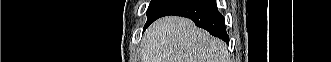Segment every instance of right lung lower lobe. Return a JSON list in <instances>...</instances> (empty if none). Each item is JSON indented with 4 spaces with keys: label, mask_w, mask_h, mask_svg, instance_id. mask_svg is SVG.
<instances>
[{
    "label": "right lung lower lobe",
    "mask_w": 331,
    "mask_h": 62,
    "mask_svg": "<svg viewBox=\"0 0 331 62\" xmlns=\"http://www.w3.org/2000/svg\"><path fill=\"white\" fill-rule=\"evenodd\" d=\"M177 15L190 18L198 27L206 29L211 35L228 43L223 16L219 13L215 0H177L155 19L145 25L147 28L156 19Z\"/></svg>",
    "instance_id": "98d812e1"
}]
</instances>
